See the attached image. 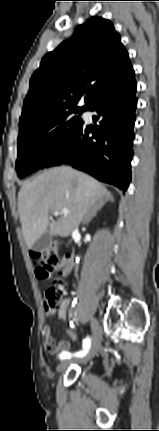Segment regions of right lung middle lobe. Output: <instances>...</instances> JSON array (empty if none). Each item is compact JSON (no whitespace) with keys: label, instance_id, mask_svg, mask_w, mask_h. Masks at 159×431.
<instances>
[{"label":"right lung middle lobe","instance_id":"1","mask_svg":"<svg viewBox=\"0 0 159 431\" xmlns=\"http://www.w3.org/2000/svg\"><path fill=\"white\" fill-rule=\"evenodd\" d=\"M71 110L51 116L19 131L16 169L23 178L31 172L46 167L49 159L83 123Z\"/></svg>","mask_w":159,"mask_h":431}]
</instances>
